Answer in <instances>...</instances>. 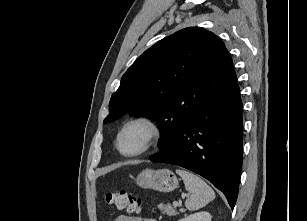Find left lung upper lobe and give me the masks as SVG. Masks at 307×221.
I'll return each mask as SVG.
<instances>
[{
	"instance_id": "1",
	"label": "left lung upper lobe",
	"mask_w": 307,
	"mask_h": 221,
	"mask_svg": "<svg viewBox=\"0 0 307 221\" xmlns=\"http://www.w3.org/2000/svg\"><path fill=\"white\" fill-rule=\"evenodd\" d=\"M235 75L224 43L201 27L182 29L146 50L122 76L104 123L126 113L164 129L162 149L183 123Z\"/></svg>"
}]
</instances>
